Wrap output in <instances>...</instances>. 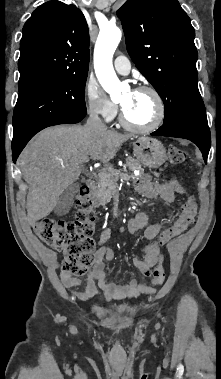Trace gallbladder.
Returning <instances> with one entry per match:
<instances>
[{
    "mask_svg": "<svg viewBox=\"0 0 221 379\" xmlns=\"http://www.w3.org/2000/svg\"><path fill=\"white\" fill-rule=\"evenodd\" d=\"M78 190V185L73 183L69 185L59 196L54 207V213L58 216L67 214L74 203V198Z\"/></svg>",
    "mask_w": 221,
    "mask_h": 379,
    "instance_id": "obj_1",
    "label": "gallbladder"
}]
</instances>
